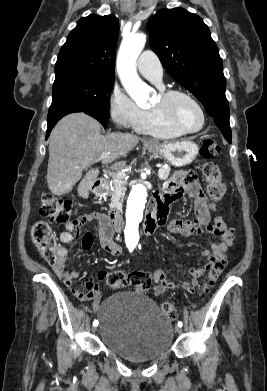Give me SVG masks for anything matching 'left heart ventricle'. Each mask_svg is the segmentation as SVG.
<instances>
[{
  "label": "left heart ventricle",
  "mask_w": 267,
  "mask_h": 391,
  "mask_svg": "<svg viewBox=\"0 0 267 391\" xmlns=\"http://www.w3.org/2000/svg\"><path fill=\"white\" fill-rule=\"evenodd\" d=\"M161 104V99L157 100L154 107ZM167 112L170 117L184 129L194 130L201 125V115L197 107L188 99L176 96L167 104Z\"/></svg>",
  "instance_id": "obj_1"
}]
</instances>
